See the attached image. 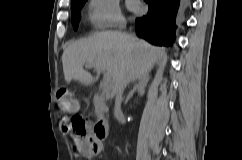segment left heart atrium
<instances>
[{"mask_svg":"<svg viewBox=\"0 0 242 160\" xmlns=\"http://www.w3.org/2000/svg\"><path fill=\"white\" fill-rule=\"evenodd\" d=\"M129 6L132 8V9H137V4L133 1H129Z\"/></svg>","mask_w":242,"mask_h":160,"instance_id":"obj_1","label":"left heart atrium"}]
</instances>
